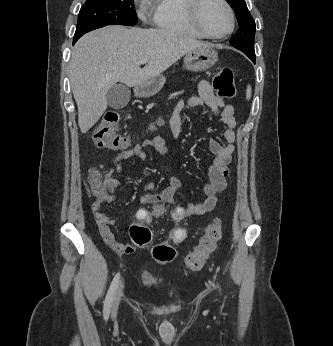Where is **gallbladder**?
<instances>
[{
	"label": "gallbladder",
	"instance_id": "1",
	"mask_svg": "<svg viewBox=\"0 0 333 346\" xmlns=\"http://www.w3.org/2000/svg\"><path fill=\"white\" fill-rule=\"evenodd\" d=\"M130 96L128 86L123 83L114 84L106 94L107 104L113 109H122L128 104Z\"/></svg>",
	"mask_w": 333,
	"mask_h": 346
}]
</instances>
